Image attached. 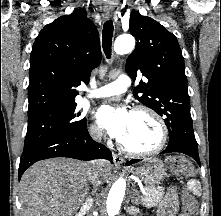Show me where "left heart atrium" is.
<instances>
[{
  "label": "left heart atrium",
  "mask_w": 221,
  "mask_h": 216,
  "mask_svg": "<svg viewBox=\"0 0 221 216\" xmlns=\"http://www.w3.org/2000/svg\"><path fill=\"white\" fill-rule=\"evenodd\" d=\"M132 112L122 105H103L96 112L98 124L111 136L122 139L129 127Z\"/></svg>",
  "instance_id": "left-heart-atrium-1"
}]
</instances>
